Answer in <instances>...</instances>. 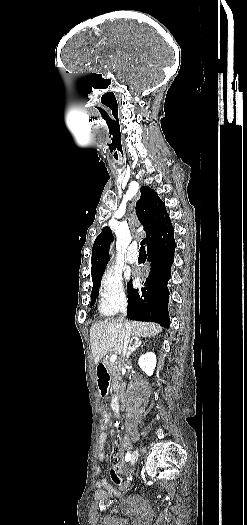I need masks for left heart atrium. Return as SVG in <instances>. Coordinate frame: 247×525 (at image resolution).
I'll list each match as a JSON object with an SVG mask.
<instances>
[{
    "instance_id": "obj_1",
    "label": "left heart atrium",
    "mask_w": 247,
    "mask_h": 525,
    "mask_svg": "<svg viewBox=\"0 0 247 525\" xmlns=\"http://www.w3.org/2000/svg\"><path fill=\"white\" fill-rule=\"evenodd\" d=\"M133 276L136 278H141L144 274V272H132Z\"/></svg>"
}]
</instances>
